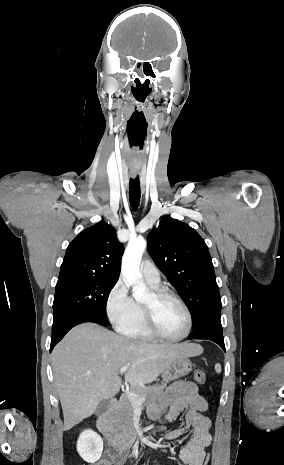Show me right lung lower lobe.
<instances>
[{
    "instance_id": "obj_1",
    "label": "right lung lower lobe",
    "mask_w": 284,
    "mask_h": 465,
    "mask_svg": "<svg viewBox=\"0 0 284 465\" xmlns=\"http://www.w3.org/2000/svg\"><path fill=\"white\" fill-rule=\"evenodd\" d=\"M85 322H93L100 324L102 326H108L109 322L107 318L102 316L91 314V313H76L71 314L58 322L53 323L52 326V339L50 345V352L54 348V346L65 336V334L74 326L85 323Z\"/></svg>"
}]
</instances>
